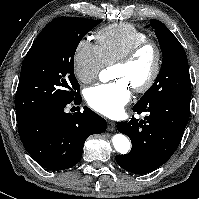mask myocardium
I'll return each mask as SVG.
<instances>
[{
  "label": "myocardium",
  "instance_id": "1",
  "mask_svg": "<svg viewBox=\"0 0 199 199\" xmlns=\"http://www.w3.org/2000/svg\"><path fill=\"white\" fill-rule=\"evenodd\" d=\"M150 49L154 53V63L153 68L146 79V81L137 86H132V89L136 93H145L149 91L154 84L156 83L162 68V51L159 45L150 39L142 41L140 43L135 44L132 46L125 54H123L119 59L114 62V66H127L131 64L137 56L142 53L143 51Z\"/></svg>",
  "mask_w": 199,
  "mask_h": 199
}]
</instances>
